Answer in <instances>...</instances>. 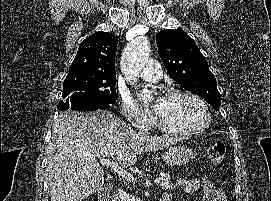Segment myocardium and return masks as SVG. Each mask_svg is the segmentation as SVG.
Here are the masks:
<instances>
[{
	"mask_svg": "<svg viewBox=\"0 0 271 201\" xmlns=\"http://www.w3.org/2000/svg\"><path fill=\"white\" fill-rule=\"evenodd\" d=\"M177 96L188 97V98H191V99L195 100L196 102H198L205 112L206 120L201 126L195 128V129H192L189 131H179V130H176V129L170 127L169 125H167L157 114H155L156 124L163 133H165L167 135L175 136V137H190V136H193L195 134H198V133L204 131L205 129H207L211 125L212 114L209 109V106L207 105V103L205 102V100L203 98H201L199 95H197L193 92L187 91V90L171 89L165 93V95L163 96V99H170V98H174Z\"/></svg>",
	"mask_w": 271,
	"mask_h": 201,
	"instance_id": "1",
	"label": "myocardium"
}]
</instances>
